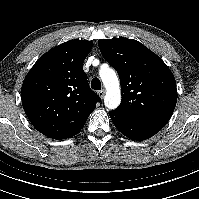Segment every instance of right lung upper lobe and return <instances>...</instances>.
Segmentation results:
<instances>
[{
  "label": "right lung upper lobe",
  "mask_w": 199,
  "mask_h": 199,
  "mask_svg": "<svg viewBox=\"0 0 199 199\" xmlns=\"http://www.w3.org/2000/svg\"><path fill=\"white\" fill-rule=\"evenodd\" d=\"M92 46L86 40L65 42L41 56L25 77L24 111L45 136L66 139L76 135L100 101L82 67Z\"/></svg>",
  "instance_id": "1"
}]
</instances>
